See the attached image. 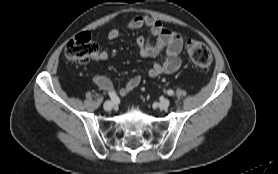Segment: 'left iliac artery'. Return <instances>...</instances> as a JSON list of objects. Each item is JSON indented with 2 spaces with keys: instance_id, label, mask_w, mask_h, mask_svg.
<instances>
[{
  "instance_id": "obj_1",
  "label": "left iliac artery",
  "mask_w": 278,
  "mask_h": 174,
  "mask_svg": "<svg viewBox=\"0 0 278 174\" xmlns=\"http://www.w3.org/2000/svg\"><path fill=\"white\" fill-rule=\"evenodd\" d=\"M167 94H168L169 96H172V95L174 94V92H173V90L170 89V90L167 91Z\"/></svg>"
}]
</instances>
